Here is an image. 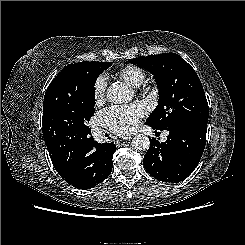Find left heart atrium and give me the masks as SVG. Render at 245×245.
Listing matches in <instances>:
<instances>
[{
	"label": "left heart atrium",
	"mask_w": 245,
	"mask_h": 245,
	"mask_svg": "<svg viewBox=\"0 0 245 245\" xmlns=\"http://www.w3.org/2000/svg\"><path fill=\"white\" fill-rule=\"evenodd\" d=\"M145 107L139 103L127 106H113L104 110L100 117L108 129L119 135L133 132L141 117L145 115Z\"/></svg>",
	"instance_id": "39dd6f15"
}]
</instances>
